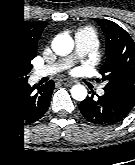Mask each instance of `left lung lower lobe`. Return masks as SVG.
Listing matches in <instances>:
<instances>
[{
  "label": "left lung lower lobe",
  "instance_id": "1",
  "mask_svg": "<svg viewBox=\"0 0 135 165\" xmlns=\"http://www.w3.org/2000/svg\"><path fill=\"white\" fill-rule=\"evenodd\" d=\"M132 106L118 95L105 91L98 99L86 98L79 104L83 116L96 124H113L123 120L132 110Z\"/></svg>",
  "mask_w": 135,
  "mask_h": 165
}]
</instances>
